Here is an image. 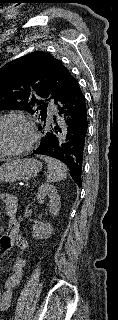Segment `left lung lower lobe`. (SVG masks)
<instances>
[{
	"label": "left lung lower lobe",
	"mask_w": 118,
	"mask_h": 320,
	"mask_svg": "<svg viewBox=\"0 0 118 320\" xmlns=\"http://www.w3.org/2000/svg\"><path fill=\"white\" fill-rule=\"evenodd\" d=\"M58 115L47 114L38 125L40 145L33 153L54 157L65 163L80 186L87 136V110L80 86L73 77L54 100Z\"/></svg>",
	"instance_id": "left-lung-lower-lobe-1"
}]
</instances>
